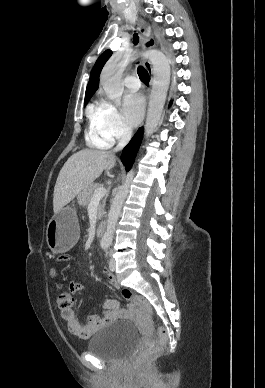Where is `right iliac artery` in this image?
I'll list each match as a JSON object with an SVG mask.
<instances>
[{
	"mask_svg": "<svg viewBox=\"0 0 265 388\" xmlns=\"http://www.w3.org/2000/svg\"><path fill=\"white\" fill-rule=\"evenodd\" d=\"M102 248H103L104 250H106V249L108 248V245H107V244H102Z\"/></svg>",
	"mask_w": 265,
	"mask_h": 388,
	"instance_id": "obj_1",
	"label": "right iliac artery"
}]
</instances>
